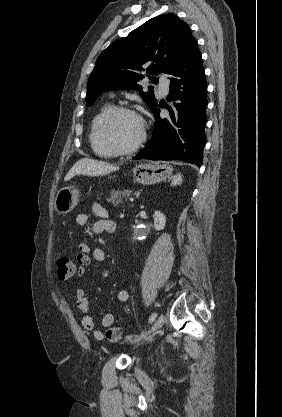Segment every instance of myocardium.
<instances>
[{"instance_id": "f54148a6", "label": "myocardium", "mask_w": 282, "mask_h": 417, "mask_svg": "<svg viewBox=\"0 0 282 417\" xmlns=\"http://www.w3.org/2000/svg\"><path fill=\"white\" fill-rule=\"evenodd\" d=\"M120 115H131L136 117L139 120L141 133L139 138L132 144L125 146L115 145L110 138V127L113 121ZM101 141L104 147L113 154L126 153L133 151L139 148L145 141L147 137V131L144 119L134 110L125 108V107H115L113 108L103 119L100 126Z\"/></svg>"}]
</instances>
